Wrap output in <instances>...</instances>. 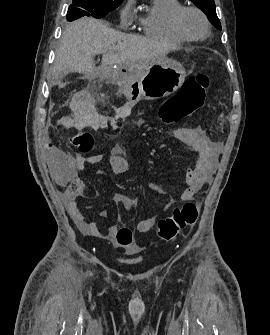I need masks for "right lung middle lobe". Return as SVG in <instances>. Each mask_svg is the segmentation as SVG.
Instances as JSON below:
<instances>
[{"mask_svg": "<svg viewBox=\"0 0 270 335\" xmlns=\"http://www.w3.org/2000/svg\"><path fill=\"white\" fill-rule=\"evenodd\" d=\"M120 4L121 2L117 3L107 0H73L66 18L68 21H73L83 16L100 19Z\"/></svg>", "mask_w": 270, "mask_h": 335, "instance_id": "dd1d6c3e", "label": "right lung middle lobe"}]
</instances>
